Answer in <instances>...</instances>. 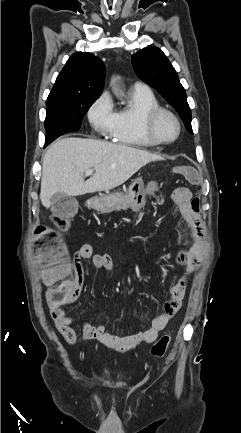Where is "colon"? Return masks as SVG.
Wrapping results in <instances>:
<instances>
[{"label":"colon","instance_id":"5ec220e1","mask_svg":"<svg viewBox=\"0 0 241 433\" xmlns=\"http://www.w3.org/2000/svg\"><path fill=\"white\" fill-rule=\"evenodd\" d=\"M178 177H187V182L196 184L200 177L196 176L195 168H178ZM76 200H57L56 205L47 207V214H54L55 220L65 226L67 214H77ZM194 208L198 207V198L195 199ZM35 251L37 260L42 268L43 278L48 285L47 300L51 307L61 306L68 300L74 291V284L70 279V262L66 256V245L61 236L52 229L43 228L37 233ZM184 282L180 286H184ZM170 344V336H162L151 348V355L163 357ZM116 349H123L126 343L112 342Z\"/></svg>","mask_w":241,"mask_h":433}]
</instances>
